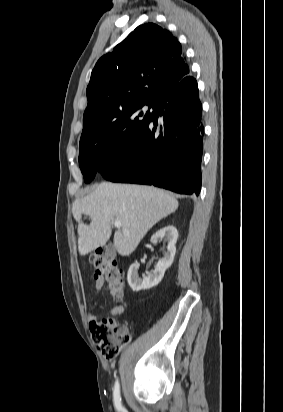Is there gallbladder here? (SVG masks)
<instances>
[{
    "mask_svg": "<svg viewBox=\"0 0 283 412\" xmlns=\"http://www.w3.org/2000/svg\"><path fill=\"white\" fill-rule=\"evenodd\" d=\"M106 256H107L108 258H113V257L115 256V248H114V246H113L112 244H109V245L106 247Z\"/></svg>",
    "mask_w": 283,
    "mask_h": 412,
    "instance_id": "obj_1",
    "label": "gallbladder"
}]
</instances>
